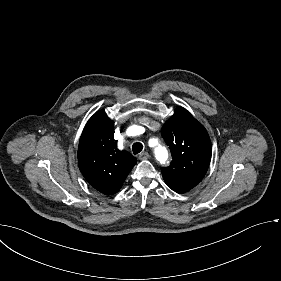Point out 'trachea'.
I'll use <instances>...</instances> for the list:
<instances>
[{"instance_id": "1", "label": "trachea", "mask_w": 281, "mask_h": 281, "mask_svg": "<svg viewBox=\"0 0 281 281\" xmlns=\"http://www.w3.org/2000/svg\"><path fill=\"white\" fill-rule=\"evenodd\" d=\"M142 149H143V145L140 142H136L132 146V151L135 155L140 153Z\"/></svg>"}]
</instances>
